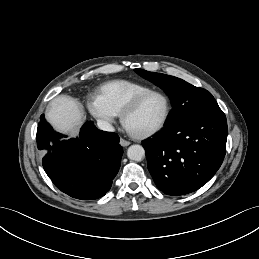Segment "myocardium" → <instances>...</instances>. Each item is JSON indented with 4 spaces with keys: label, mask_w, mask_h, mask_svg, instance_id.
Instances as JSON below:
<instances>
[{
    "label": "myocardium",
    "mask_w": 259,
    "mask_h": 259,
    "mask_svg": "<svg viewBox=\"0 0 259 259\" xmlns=\"http://www.w3.org/2000/svg\"><path fill=\"white\" fill-rule=\"evenodd\" d=\"M154 94H158L161 95L163 97V99L165 100V104H166V110H165V114L164 117L162 119V121L153 129L145 132V133H141V134H135L132 133L131 131H128L130 133V135L134 138L137 139H146L149 137H152L154 135H156L157 133H159L168 123V120L170 118L171 115V111H172V104H171V100L169 98V96L162 90H157V89H151L149 91H146L138 96H136L121 112L120 114V121L121 124L126 128L125 126V120L126 118L133 113L138 106L149 96L154 95Z\"/></svg>",
    "instance_id": "f54148a6"
}]
</instances>
